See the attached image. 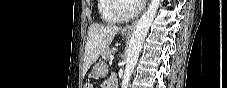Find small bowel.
<instances>
[{
  "instance_id": "c3829d8e",
  "label": "small bowel",
  "mask_w": 227,
  "mask_h": 88,
  "mask_svg": "<svg viewBox=\"0 0 227 88\" xmlns=\"http://www.w3.org/2000/svg\"><path fill=\"white\" fill-rule=\"evenodd\" d=\"M117 79L115 75L111 76L105 83L103 84L104 88H113V80Z\"/></svg>"
}]
</instances>
